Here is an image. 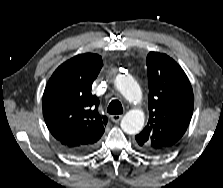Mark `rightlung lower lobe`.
<instances>
[{
    "instance_id": "98d812e1",
    "label": "right lung lower lobe",
    "mask_w": 223,
    "mask_h": 188,
    "mask_svg": "<svg viewBox=\"0 0 223 188\" xmlns=\"http://www.w3.org/2000/svg\"><path fill=\"white\" fill-rule=\"evenodd\" d=\"M64 148L72 154L84 155V154H87L88 152H90L94 147H89V148H67V147H64Z\"/></svg>"
}]
</instances>
